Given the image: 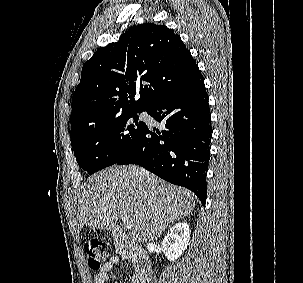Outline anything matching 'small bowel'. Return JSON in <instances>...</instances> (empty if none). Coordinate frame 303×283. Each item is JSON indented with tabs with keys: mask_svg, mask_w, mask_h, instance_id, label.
Masks as SVG:
<instances>
[{
	"mask_svg": "<svg viewBox=\"0 0 303 283\" xmlns=\"http://www.w3.org/2000/svg\"><path fill=\"white\" fill-rule=\"evenodd\" d=\"M120 262V258L118 256H112L103 266V269L100 270L94 277V283H107V281L111 278L109 272L111 269Z\"/></svg>",
	"mask_w": 303,
	"mask_h": 283,
	"instance_id": "1",
	"label": "small bowel"
}]
</instances>
